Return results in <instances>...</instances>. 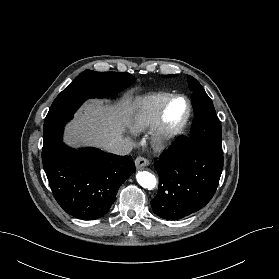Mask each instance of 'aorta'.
Masks as SVG:
<instances>
[{
	"mask_svg": "<svg viewBox=\"0 0 279 279\" xmlns=\"http://www.w3.org/2000/svg\"><path fill=\"white\" fill-rule=\"evenodd\" d=\"M137 182L143 187L149 190L155 188L156 177L147 171H140L136 175Z\"/></svg>",
	"mask_w": 279,
	"mask_h": 279,
	"instance_id": "762f6f07",
	"label": "aorta"
}]
</instances>
